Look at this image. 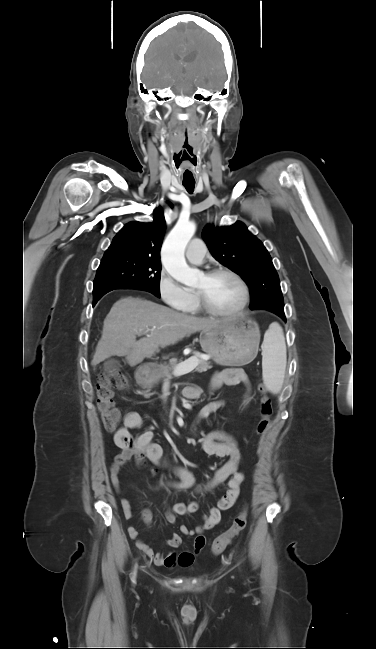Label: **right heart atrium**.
<instances>
[{"mask_svg": "<svg viewBox=\"0 0 376 649\" xmlns=\"http://www.w3.org/2000/svg\"><path fill=\"white\" fill-rule=\"evenodd\" d=\"M157 289L163 302L175 309H182L189 299V291L165 269L159 273Z\"/></svg>", "mask_w": 376, "mask_h": 649, "instance_id": "right-heart-atrium-1", "label": "right heart atrium"}]
</instances>
